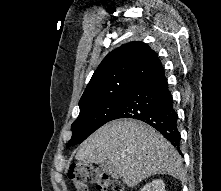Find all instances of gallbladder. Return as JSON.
<instances>
[{"mask_svg": "<svg viewBox=\"0 0 221 191\" xmlns=\"http://www.w3.org/2000/svg\"><path fill=\"white\" fill-rule=\"evenodd\" d=\"M100 168L103 172L112 175L113 177H117L114 167L109 162H104L100 164Z\"/></svg>", "mask_w": 221, "mask_h": 191, "instance_id": "gallbladder-1", "label": "gallbladder"}]
</instances>
